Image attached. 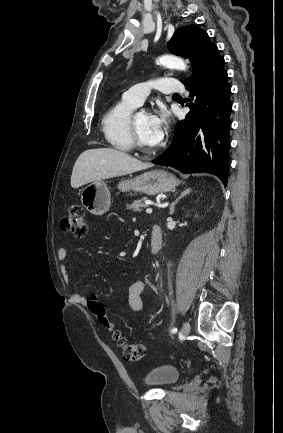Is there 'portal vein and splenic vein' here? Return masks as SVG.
I'll return each mask as SVG.
<instances>
[{
	"mask_svg": "<svg viewBox=\"0 0 283 433\" xmlns=\"http://www.w3.org/2000/svg\"><path fill=\"white\" fill-rule=\"evenodd\" d=\"M146 212H153V208H146Z\"/></svg>",
	"mask_w": 283,
	"mask_h": 433,
	"instance_id": "18ae733b",
	"label": "portal vein and splenic vein"
}]
</instances>
